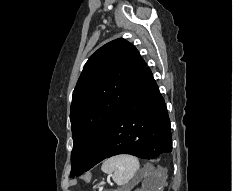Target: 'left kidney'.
Segmentation results:
<instances>
[{
  "label": "left kidney",
  "instance_id": "obj_1",
  "mask_svg": "<svg viewBox=\"0 0 233 191\" xmlns=\"http://www.w3.org/2000/svg\"><path fill=\"white\" fill-rule=\"evenodd\" d=\"M143 181L149 185H152L151 188H154V191H161L162 185H163V180L160 179L158 182L151 184L149 181L151 180L149 175H145L142 177ZM150 191V190H149Z\"/></svg>",
  "mask_w": 233,
  "mask_h": 191
}]
</instances>
